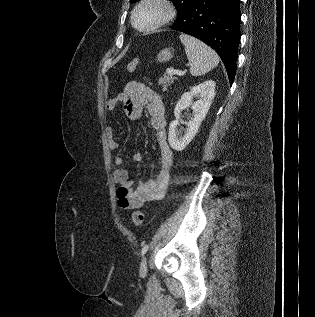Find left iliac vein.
Instances as JSON below:
<instances>
[{"mask_svg": "<svg viewBox=\"0 0 315 317\" xmlns=\"http://www.w3.org/2000/svg\"><path fill=\"white\" fill-rule=\"evenodd\" d=\"M147 274V258L144 257L140 264V276L145 277Z\"/></svg>", "mask_w": 315, "mask_h": 317, "instance_id": "left-iliac-vein-1", "label": "left iliac vein"}]
</instances>
